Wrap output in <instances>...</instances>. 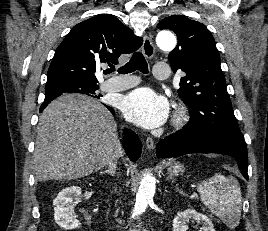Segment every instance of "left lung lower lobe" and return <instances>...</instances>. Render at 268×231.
<instances>
[{
  "instance_id": "0a47b994",
  "label": "left lung lower lobe",
  "mask_w": 268,
  "mask_h": 231,
  "mask_svg": "<svg viewBox=\"0 0 268 231\" xmlns=\"http://www.w3.org/2000/svg\"><path fill=\"white\" fill-rule=\"evenodd\" d=\"M197 152H215L232 156L238 162L243 176L248 179L247 147L235 141L183 128L160 140L157 146L159 158L179 157Z\"/></svg>"
}]
</instances>
